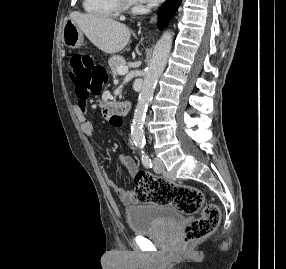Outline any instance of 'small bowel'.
Instances as JSON below:
<instances>
[{
	"mask_svg": "<svg viewBox=\"0 0 286 269\" xmlns=\"http://www.w3.org/2000/svg\"><path fill=\"white\" fill-rule=\"evenodd\" d=\"M85 98V97H84ZM84 98L80 99L74 105V112L78 118L80 123V127L82 132L88 136L89 138H95V131L92 122L88 118V106L86 100ZM97 106L101 111V119L102 120H114L115 119V111L109 110L106 106V101H97ZM120 164L124 165L129 173V175L133 178L138 173V166L134 159L128 154H121L118 158ZM110 174H116L114 169L110 170ZM105 180L108 186L115 192L118 198L124 204H134L137 202V198L135 196V192L130 189H125L121 186H118L110 177L108 173H105Z\"/></svg>",
	"mask_w": 286,
	"mask_h": 269,
	"instance_id": "small-bowel-1",
	"label": "small bowel"
}]
</instances>
